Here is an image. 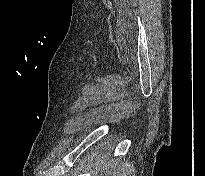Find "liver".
Here are the masks:
<instances>
[{"instance_id": "1", "label": "liver", "mask_w": 205, "mask_h": 176, "mask_svg": "<svg viewBox=\"0 0 205 176\" xmlns=\"http://www.w3.org/2000/svg\"><path fill=\"white\" fill-rule=\"evenodd\" d=\"M107 168H108V165H107V163H105V164H103V171L105 172H107ZM97 173H98V171H96V174H95V176H97ZM102 176V175H101Z\"/></svg>"}]
</instances>
